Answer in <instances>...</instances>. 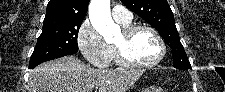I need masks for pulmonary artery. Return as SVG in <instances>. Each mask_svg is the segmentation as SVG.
Masks as SVG:
<instances>
[{"label": "pulmonary artery", "instance_id": "obj_1", "mask_svg": "<svg viewBox=\"0 0 225 92\" xmlns=\"http://www.w3.org/2000/svg\"><path fill=\"white\" fill-rule=\"evenodd\" d=\"M112 16L114 20L121 24H128L132 22V13L124 6L116 5L112 8Z\"/></svg>", "mask_w": 225, "mask_h": 92}]
</instances>
